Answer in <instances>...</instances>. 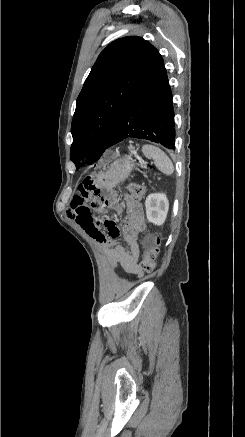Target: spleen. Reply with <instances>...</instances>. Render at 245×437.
<instances>
[{
    "instance_id": "1",
    "label": "spleen",
    "mask_w": 245,
    "mask_h": 437,
    "mask_svg": "<svg viewBox=\"0 0 245 437\" xmlns=\"http://www.w3.org/2000/svg\"><path fill=\"white\" fill-rule=\"evenodd\" d=\"M143 154L154 160L156 167L164 174L171 175L174 172V165L171 159L157 146L145 144L142 147Z\"/></svg>"
}]
</instances>
